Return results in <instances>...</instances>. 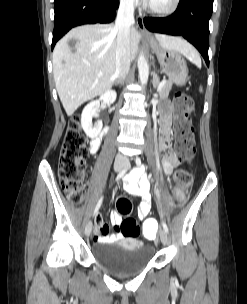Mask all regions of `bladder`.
<instances>
[{
	"label": "bladder",
	"instance_id": "bladder-1",
	"mask_svg": "<svg viewBox=\"0 0 247 304\" xmlns=\"http://www.w3.org/2000/svg\"><path fill=\"white\" fill-rule=\"evenodd\" d=\"M154 254V247L133 241H100L92 247L94 260L116 274L144 269Z\"/></svg>",
	"mask_w": 247,
	"mask_h": 304
}]
</instances>
